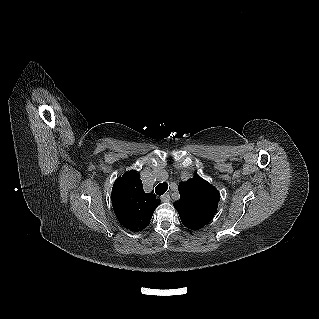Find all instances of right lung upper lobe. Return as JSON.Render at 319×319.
<instances>
[{
    "label": "right lung upper lobe",
    "mask_w": 319,
    "mask_h": 319,
    "mask_svg": "<svg viewBox=\"0 0 319 319\" xmlns=\"http://www.w3.org/2000/svg\"><path fill=\"white\" fill-rule=\"evenodd\" d=\"M112 205L119 222L137 232L145 229L160 200L152 193H145L140 175L129 171L120 176L112 188Z\"/></svg>",
    "instance_id": "right-lung-upper-lobe-1"
}]
</instances>
